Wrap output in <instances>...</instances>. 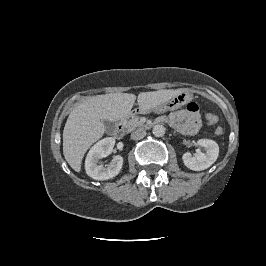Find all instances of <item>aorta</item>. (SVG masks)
Masks as SVG:
<instances>
[{"instance_id":"obj_1","label":"aorta","mask_w":266,"mask_h":266,"mask_svg":"<svg viewBox=\"0 0 266 266\" xmlns=\"http://www.w3.org/2000/svg\"><path fill=\"white\" fill-rule=\"evenodd\" d=\"M154 136L162 137L165 134V127L163 125H155L152 130Z\"/></svg>"}]
</instances>
